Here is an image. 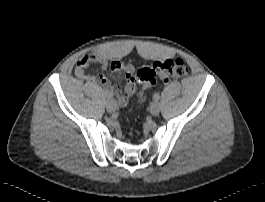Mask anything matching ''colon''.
<instances>
[{"label": "colon", "instance_id": "5ec220e1", "mask_svg": "<svg viewBox=\"0 0 265 202\" xmlns=\"http://www.w3.org/2000/svg\"><path fill=\"white\" fill-rule=\"evenodd\" d=\"M188 74L186 63L180 59H167L156 61L152 64L143 63L135 70L134 76L140 85V100L137 106L141 104L142 94L160 79L165 83L173 82L185 77Z\"/></svg>", "mask_w": 265, "mask_h": 202}]
</instances>
